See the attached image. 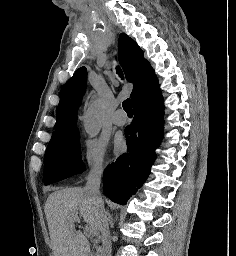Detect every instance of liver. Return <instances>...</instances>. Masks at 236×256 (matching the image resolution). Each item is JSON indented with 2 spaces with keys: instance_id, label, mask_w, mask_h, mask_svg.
Masks as SVG:
<instances>
[{
  "instance_id": "obj_1",
  "label": "liver",
  "mask_w": 236,
  "mask_h": 256,
  "mask_svg": "<svg viewBox=\"0 0 236 256\" xmlns=\"http://www.w3.org/2000/svg\"><path fill=\"white\" fill-rule=\"evenodd\" d=\"M77 210L94 234L101 232L108 220L105 210L91 200L82 188L52 192L45 202L44 212L54 256H89L90 244L80 230L76 232L72 222Z\"/></svg>"
}]
</instances>
